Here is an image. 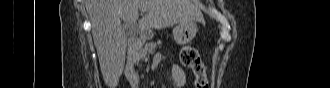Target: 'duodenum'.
<instances>
[{
	"label": "duodenum",
	"instance_id": "410a0bca",
	"mask_svg": "<svg viewBox=\"0 0 330 88\" xmlns=\"http://www.w3.org/2000/svg\"><path fill=\"white\" fill-rule=\"evenodd\" d=\"M150 35L144 31H139L138 35L131 37L127 43V65L125 69L126 79L132 84V87L138 85V78L134 70V53L141 46L144 40L148 39Z\"/></svg>",
	"mask_w": 330,
	"mask_h": 88
}]
</instances>
